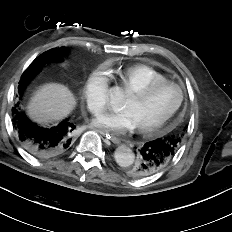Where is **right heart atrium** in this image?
Returning a JSON list of instances; mask_svg holds the SVG:
<instances>
[{"label":"right heart atrium","instance_id":"right-heart-atrium-1","mask_svg":"<svg viewBox=\"0 0 232 232\" xmlns=\"http://www.w3.org/2000/svg\"><path fill=\"white\" fill-rule=\"evenodd\" d=\"M83 98L92 113L105 109L109 102L108 75L103 69H97L88 77Z\"/></svg>","mask_w":232,"mask_h":232}]
</instances>
